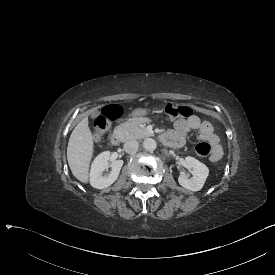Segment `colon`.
Wrapping results in <instances>:
<instances>
[{
  "label": "colon",
  "mask_w": 275,
  "mask_h": 275,
  "mask_svg": "<svg viewBox=\"0 0 275 275\" xmlns=\"http://www.w3.org/2000/svg\"><path fill=\"white\" fill-rule=\"evenodd\" d=\"M165 112L170 121L181 118L186 119L192 115L190 107L179 103H167ZM122 116V107L120 105H109L97 117L93 137L95 141H101L106 133L110 122L119 119ZM195 152L200 157H207L211 152V145L207 141H200L195 145Z\"/></svg>",
  "instance_id": "colon-1"
}]
</instances>
